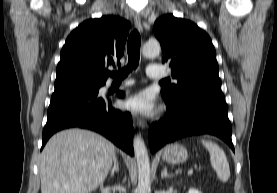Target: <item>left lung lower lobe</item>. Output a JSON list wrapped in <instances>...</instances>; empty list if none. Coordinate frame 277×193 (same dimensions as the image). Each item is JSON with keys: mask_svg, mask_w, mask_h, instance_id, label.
<instances>
[{"mask_svg": "<svg viewBox=\"0 0 277 193\" xmlns=\"http://www.w3.org/2000/svg\"><path fill=\"white\" fill-rule=\"evenodd\" d=\"M168 113L149 128L152 153L179 138L211 134L223 139L234 151L228 106L220 87H201L186 92L177 102L165 100Z\"/></svg>", "mask_w": 277, "mask_h": 193, "instance_id": "left-lung-lower-lobe-1", "label": "left lung lower lobe"}]
</instances>
